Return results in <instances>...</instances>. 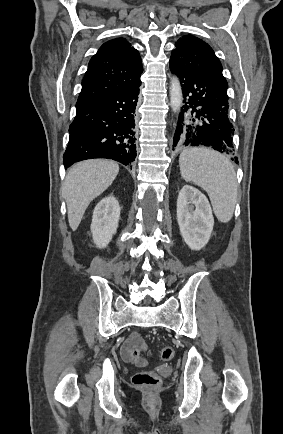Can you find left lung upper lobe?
Listing matches in <instances>:
<instances>
[{
  "label": "left lung upper lobe",
  "instance_id": "left-lung-upper-lobe-1",
  "mask_svg": "<svg viewBox=\"0 0 283 434\" xmlns=\"http://www.w3.org/2000/svg\"><path fill=\"white\" fill-rule=\"evenodd\" d=\"M170 61L228 88L222 65L213 49L201 39L184 35L175 43Z\"/></svg>",
  "mask_w": 283,
  "mask_h": 434
}]
</instances>
